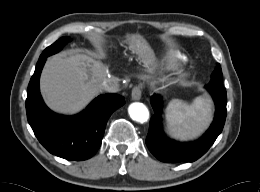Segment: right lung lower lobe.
<instances>
[{"instance_id":"1","label":"right lung lower lobe","mask_w":260,"mask_h":192,"mask_svg":"<svg viewBox=\"0 0 260 192\" xmlns=\"http://www.w3.org/2000/svg\"><path fill=\"white\" fill-rule=\"evenodd\" d=\"M46 58L38 60L27 90L28 122L39 142L52 154L67 160H86L99 149L111 114L124 105L118 94L98 96L83 112L66 117L52 112L39 91V78Z\"/></svg>"}]
</instances>
